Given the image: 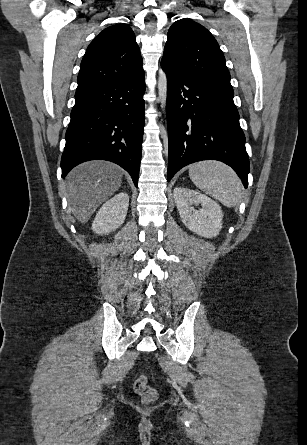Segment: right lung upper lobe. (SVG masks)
I'll list each match as a JSON object with an SVG mask.
<instances>
[{
  "label": "right lung upper lobe",
  "instance_id": "1",
  "mask_svg": "<svg viewBox=\"0 0 307 445\" xmlns=\"http://www.w3.org/2000/svg\"><path fill=\"white\" fill-rule=\"evenodd\" d=\"M133 30L125 24L104 29L88 46L78 74L77 90L114 83L142 71Z\"/></svg>",
  "mask_w": 307,
  "mask_h": 445
}]
</instances>
